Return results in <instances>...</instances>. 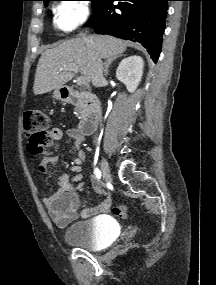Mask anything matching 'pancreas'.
I'll return each mask as SVG.
<instances>
[{"label":"pancreas","instance_id":"1","mask_svg":"<svg viewBox=\"0 0 216 285\" xmlns=\"http://www.w3.org/2000/svg\"><path fill=\"white\" fill-rule=\"evenodd\" d=\"M88 109V104L86 100H79L76 104L75 111L78 115L83 116Z\"/></svg>","mask_w":216,"mask_h":285}]
</instances>
